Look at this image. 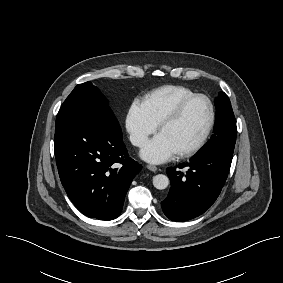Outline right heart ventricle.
Returning a JSON list of instances; mask_svg holds the SVG:
<instances>
[{
  "mask_svg": "<svg viewBox=\"0 0 283 283\" xmlns=\"http://www.w3.org/2000/svg\"><path fill=\"white\" fill-rule=\"evenodd\" d=\"M195 94L179 85H166L147 94L143 104L151 119L159 124L185 98Z\"/></svg>",
  "mask_w": 283,
  "mask_h": 283,
  "instance_id": "1",
  "label": "right heart ventricle"
}]
</instances>
